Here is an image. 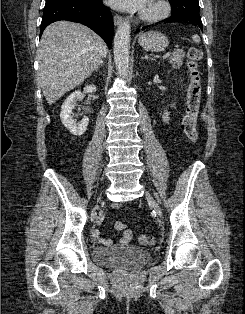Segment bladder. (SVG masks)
Here are the masks:
<instances>
[{"label": "bladder", "mask_w": 245, "mask_h": 314, "mask_svg": "<svg viewBox=\"0 0 245 314\" xmlns=\"http://www.w3.org/2000/svg\"><path fill=\"white\" fill-rule=\"evenodd\" d=\"M151 259L152 253L149 250L133 246L96 248L94 250L95 262L106 266L142 265Z\"/></svg>", "instance_id": "31cf9c89"}]
</instances>
